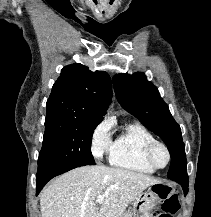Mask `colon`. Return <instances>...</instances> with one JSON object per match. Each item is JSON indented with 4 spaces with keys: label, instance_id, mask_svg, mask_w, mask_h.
<instances>
[{
    "label": "colon",
    "instance_id": "colon-1",
    "mask_svg": "<svg viewBox=\"0 0 211 217\" xmlns=\"http://www.w3.org/2000/svg\"><path fill=\"white\" fill-rule=\"evenodd\" d=\"M156 192L162 200L158 217H173L180 209L178 195L166 185H159Z\"/></svg>",
    "mask_w": 211,
    "mask_h": 217
}]
</instances>
